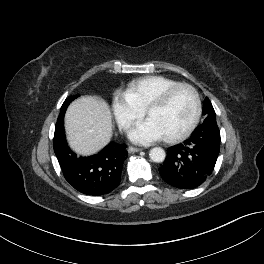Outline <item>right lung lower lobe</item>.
<instances>
[{
  "label": "right lung lower lobe",
  "instance_id": "1",
  "mask_svg": "<svg viewBox=\"0 0 264 264\" xmlns=\"http://www.w3.org/2000/svg\"><path fill=\"white\" fill-rule=\"evenodd\" d=\"M63 119L56 123L54 151L65 179L81 193L100 196L115 189L121 181L125 144L109 143L98 154L77 156L67 145L63 131Z\"/></svg>",
  "mask_w": 264,
  "mask_h": 264
}]
</instances>
